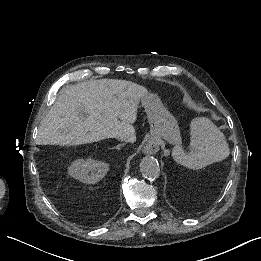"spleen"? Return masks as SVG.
<instances>
[{
  "instance_id": "spleen-1",
  "label": "spleen",
  "mask_w": 261,
  "mask_h": 261,
  "mask_svg": "<svg viewBox=\"0 0 261 261\" xmlns=\"http://www.w3.org/2000/svg\"><path fill=\"white\" fill-rule=\"evenodd\" d=\"M190 128L191 151L182 152L178 163L190 169H201L229 156L230 150L225 135L210 119L194 118Z\"/></svg>"
}]
</instances>
